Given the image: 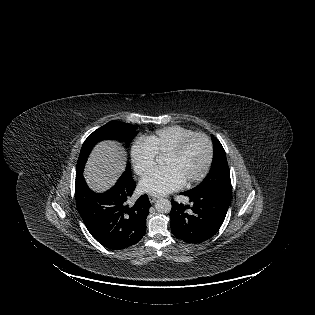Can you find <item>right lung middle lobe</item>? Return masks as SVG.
<instances>
[{"instance_id": "right-lung-middle-lobe-1", "label": "right lung middle lobe", "mask_w": 315, "mask_h": 315, "mask_svg": "<svg viewBox=\"0 0 315 315\" xmlns=\"http://www.w3.org/2000/svg\"><path fill=\"white\" fill-rule=\"evenodd\" d=\"M136 126L120 121H110L101 128L94 131L85 140L77 161V170L83 171L87 158L93 147L102 140H118L125 142L128 146L131 140L137 135ZM126 172L131 174L130 164L127 163Z\"/></svg>"}]
</instances>
